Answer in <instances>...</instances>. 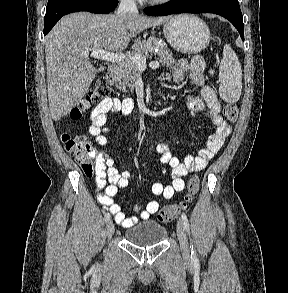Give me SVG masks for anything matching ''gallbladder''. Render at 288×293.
<instances>
[{
  "mask_svg": "<svg viewBox=\"0 0 288 293\" xmlns=\"http://www.w3.org/2000/svg\"><path fill=\"white\" fill-rule=\"evenodd\" d=\"M103 70H104L103 67H100V68L97 69L98 72H101V71H103Z\"/></svg>",
  "mask_w": 288,
  "mask_h": 293,
  "instance_id": "1",
  "label": "gallbladder"
}]
</instances>
